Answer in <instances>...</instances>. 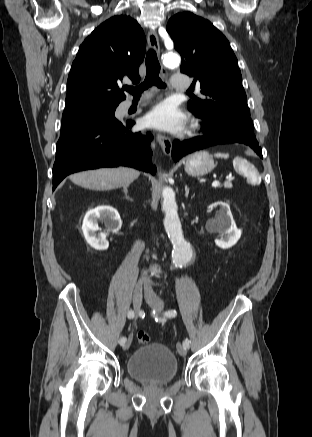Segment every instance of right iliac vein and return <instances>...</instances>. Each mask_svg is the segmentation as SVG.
<instances>
[{
	"label": "right iliac vein",
	"mask_w": 312,
	"mask_h": 437,
	"mask_svg": "<svg viewBox=\"0 0 312 437\" xmlns=\"http://www.w3.org/2000/svg\"><path fill=\"white\" fill-rule=\"evenodd\" d=\"M142 285L139 283L135 287L134 293H133V307L136 311H139L142 305ZM131 344V337L128 338V340L123 344V349L127 350L130 347Z\"/></svg>",
	"instance_id": "obj_1"
}]
</instances>
